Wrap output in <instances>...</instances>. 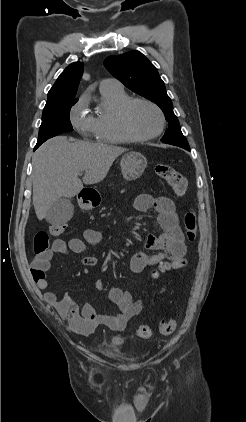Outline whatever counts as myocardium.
I'll return each instance as SVG.
<instances>
[{
    "label": "myocardium",
    "instance_id": "myocardium-1",
    "mask_svg": "<svg viewBox=\"0 0 246 422\" xmlns=\"http://www.w3.org/2000/svg\"><path fill=\"white\" fill-rule=\"evenodd\" d=\"M138 103H143L151 106L159 115L160 125L156 132L150 135H140L138 134L131 125L130 122V111L134 105ZM118 118L120 125L124 132L133 140V141H149L157 138L163 132L166 125V118L163 110L155 102L146 99V98H130L127 100L119 109Z\"/></svg>",
    "mask_w": 246,
    "mask_h": 422
}]
</instances>
